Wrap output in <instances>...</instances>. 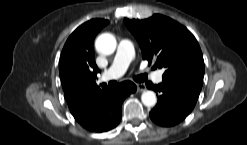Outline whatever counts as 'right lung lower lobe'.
Listing matches in <instances>:
<instances>
[{
	"mask_svg": "<svg viewBox=\"0 0 247 145\" xmlns=\"http://www.w3.org/2000/svg\"><path fill=\"white\" fill-rule=\"evenodd\" d=\"M136 89L131 81L122 82L116 88H107L96 93L71 113L89 131L111 130L120 122L123 100Z\"/></svg>",
	"mask_w": 247,
	"mask_h": 145,
	"instance_id": "right-lung-lower-lobe-1",
	"label": "right lung lower lobe"
}]
</instances>
